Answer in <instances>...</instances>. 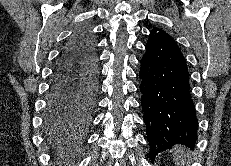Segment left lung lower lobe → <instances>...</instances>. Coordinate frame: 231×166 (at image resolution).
<instances>
[{"label":"left lung lower lobe","instance_id":"0a47b994","mask_svg":"<svg viewBox=\"0 0 231 166\" xmlns=\"http://www.w3.org/2000/svg\"><path fill=\"white\" fill-rule=\"evenodd\" d=\"M140 90L151 156L175 144L193 148L197 119L185 58L173 38L154 27L141 61Z\"/></svg>","mask_w":231,"mask_h":166}]
</instances>
